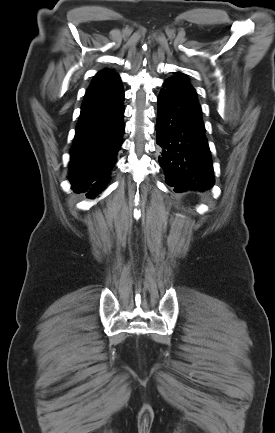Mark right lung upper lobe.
Listing matches in <instances>:
<instances>
[{
	"label": "right lung upper lobe",
	"mask_w": 275,
	"mask_h": 433,
	"mask_svg": "<svg viewBox=\"0 0 275 433\" xmlns=\"http://www.w3.org/2000/svg\"><path fill=\"white\" fill-rule=\"evenodd\" d=\"M118 82H121L119 75L115 72H112L110 70L105 69V70L98 72L94 76V79H93L89 89L95 88V87H100V86H105V85H112V84H116Z\"/></svg>",
	"instance_id": "1"
}]
</instances>
